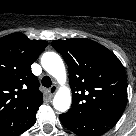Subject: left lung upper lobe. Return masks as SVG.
Here are the masks:
<instances>
[{
  "label": "left lung upper lobe",
  "mask_w": 136,
  "mask_h": 136,
  "mask_svg": "<svg viewBox=\"0 0 136 136\" xmlns=\"http://www.w3.org/2000/svg\"><path fill=\"white\" fill-rule=\"evenodd\" d=\"M69 71L72 107L68 118L118 121L127 103V78L120 60L103 45L85 38L52 41Z\"/></svg>",
  "instance_id": "5c2ea615"
}]
</instances>
